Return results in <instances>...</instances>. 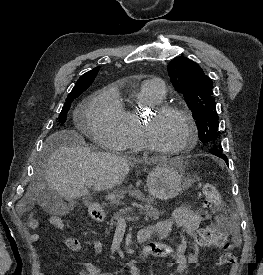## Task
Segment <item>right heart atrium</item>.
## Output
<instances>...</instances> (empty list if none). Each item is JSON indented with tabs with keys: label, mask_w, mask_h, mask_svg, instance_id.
Returning <instances> with one entry per match:
<instances>
[{
	"label": "right heart atrium",
	"mask_w": 263,
	"mask_h": 275,
	"mask_svg": "<svg viewBox=\"0 0 263 275\" xmlns=\"http://www.w3.org/2000/svg\"><path fill=\"white\" fill-rule=\"evenodd\" d=\"M86 119L96 142L111 150L123 149L120 103L114 90L105 89L96 94L87 108Z\"/></svg>",
	"instance_id": "right-heart-atrium-1"
}]
</instances>
